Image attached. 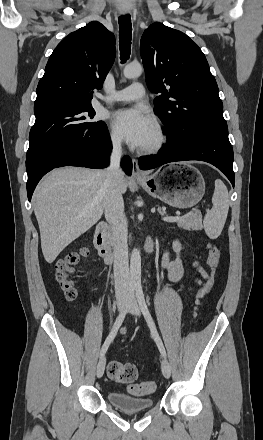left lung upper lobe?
Here are the masks:
<instances>
[{"label":"left lung upper lobe","mask_w":263,"mask_h":440,"mask_svg":"<svg viewBox=\"0 0 263 440\" xmlns=\"http://www.w3.org/2000/svg\"><path fill=\"white\" fill-rule=\"evenodd\" d=\"M140 53L155 113L182 149L211 129L227 127L218 86L201 49L186 34L162 23L143 33ZM167 87H166V86Z\"/></svg>","instance_id":"5c2ea615"}]
</instances>
